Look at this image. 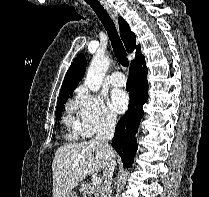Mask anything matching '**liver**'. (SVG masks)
<instances>
[{"instance_id": "1", "label": "liver", "mask_w": 209, "mask_h": 197, "mask_svg": "<svg viewBox=\"0 0 209 197\" xmlns=\"http://www.w3.org/2000/svg\"><path fill=\"white\" fill-rule=\"evenodd\" d=\"M107 160V148L96 139L59 147L52 163L53 197H64L86 176L105 169Z\"/></svg>"}]
</instances>
